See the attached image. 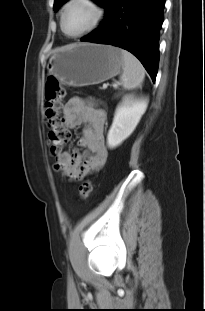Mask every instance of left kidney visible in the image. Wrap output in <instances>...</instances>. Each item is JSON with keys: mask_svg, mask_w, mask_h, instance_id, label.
<instances>
[{"mask_svg": "<svg viewBox=\"0 0 205 311\" xmlns=\"http://www.w3.org/2000/svg\"><path fill=\"white\" fill-rule=\"evenodd\" d=\"M148 106V99L126 97L116 108L112 126L107 135L109 148L119 146L135 130Z\"/></svg>", "mask_w": 205, "mask_h": 311, "instance_id": "left-kidney-1", "label": "left kidney"}]
</instances>
